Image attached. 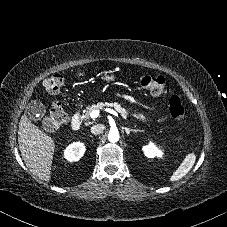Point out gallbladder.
I'll use <instances>...</instances> for the list:
<instances>
[{
  "mask_svg": "<svg viewBox=\"0 0 227 227\" xmlns=\"http://www.w3.org/2000/svg\"><path fill=\"white\" fill-rule=\"evenodd\" d=\"M26 113L30 118H36V114H38L37 118H42L45 113V108L40 101H31L27 108Z\"/></svg>",
  "mask_w": 227,
  "mask_h": 227,
  "instance_id": "obj_1",
  "label": "gallbladder"
}]
</instances>
